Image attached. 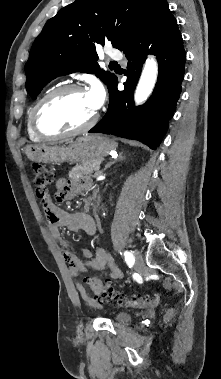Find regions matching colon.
Listing matches in <instances>:
<instances>
[{"instance_id":"1","label":"colon","mask_w":221,"mask_h":379,"mask_svg":"<svg viewBox=\"0 0 221 379\" xmlns=\"http://www.w3.org/2000/svg\"><path fill=\"white\" fill-rule=\"evenodd\" d=\"M34 184L36 186V194L41 202H45L50 195L51 185L54 181L53 172L44 165H33ZM91 290L95 298L100 302L117 301L119 303H126L133 307H143L152 305L157 302V298L149 295L134 296L129 299H122L121 296L115 293L107 284H104L99 278H87ZM173 311L169 310L166 313V319H170Z\"/></svg>"}]
</instances>
